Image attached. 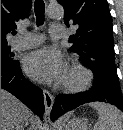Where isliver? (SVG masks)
<instances>
[{"label":"liver","mask_w":123,"mask_h":130,"mask_svg":"<svg viewBox=\"0 0 123 130\" xmlns=\"http://www.w3.org/2000/svg\"><path fill=\"white\" fill-rule=\"evenodd\" d=\"M34 118L30 110L9 92L1 89V130H23Z\"/></svg>","instance_id":"liver-1"}]
</instances>
